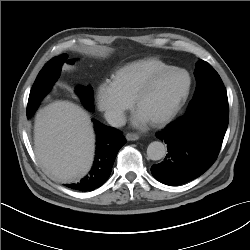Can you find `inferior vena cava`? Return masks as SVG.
Masks as SVG:
<instances>
[{
	"label": "inferior vena cava",
	"instance_id": "inferior-vena-cava-1",
	"mask_svg": "<svg viewBox=\"0 0 250 250\" xmlns=\"http://www.w3.org/2000/svg\"><path fill=\"white\" fill-rule=\"evenodd\" d=\"M105 118H106V121L111 126H114V127H121V126H124L126 123L125 116L120 111H114V110L107 111L105 113Z\"/></svg>",
	"mask_w": 250,
	"mask_h": 250
}]
</instances>
